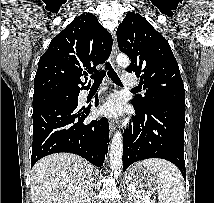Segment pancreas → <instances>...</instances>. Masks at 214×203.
<instances>
[{"mask_svg":"<svg viewBox=\"0 0 214 203\" xmlns=\"http://www.w3.org/2000/svg\"><path fill=\"white\" fill-rule=\"evenodd\" d=\"M131 195V202L130 203H154V201L151 200H144L143 196L141 193L135 191L134 189L130 193Z\"/></svg>","mask_w":214,"mask_h":203,"instance_id":"cf45deb5","label":"pancreas"}]
</instances>
